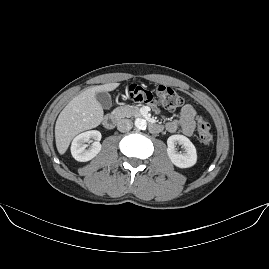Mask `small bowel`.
Wrapping results in <instances>:
<instances>
[{
    "mask_svg": "<svg viewBox=\"0 0 269 269\" xmlns=\"http://www.w3.org/2000/svg\"><path fill=\"white\" fill-rule=\"evenodd\" d=\"M195 115L196 111L191 104H185L179 113L177 119L167 123L166 129L170 133H175L180 130L184 135L191 136L195 130Z\"/></svg>",
    "mask_w": 269,
    "mask_h": 269,
    "instance_id": "c3829d8e",
    "label": "small bowel"
}]
</instances>
